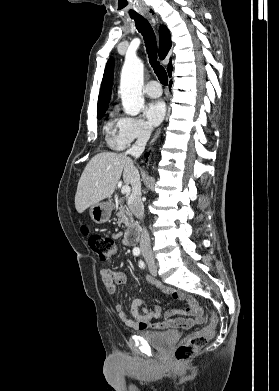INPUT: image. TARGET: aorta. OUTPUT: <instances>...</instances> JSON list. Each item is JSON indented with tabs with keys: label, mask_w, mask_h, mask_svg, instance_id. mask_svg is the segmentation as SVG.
<instances>
[{
	"label": "aorta",
	"mask_w": 279,
	"mask_h": 391,
	"mask_svg": "<svg viewBox=\"0 0 279 391\" xmlns=\"http://www.w3.org/2000/svg\"><path fill=\"white\" fill-rule=\"evenodd\" d=\"M144 65L137 57H127L122 67L120 95L125 113L136 116L144 107L142 97Z\"/></svg>",
	"instance_id": "aorta-1"
}]
</instances>
